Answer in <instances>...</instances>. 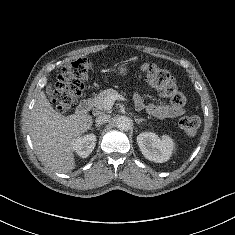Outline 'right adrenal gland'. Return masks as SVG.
I'll return each mask as SVG.
<instances>
[{"mask_svg":"<svg viewBox=\"0 0 235 235\" xmlns=\"http://www.w3.org/2000/svg\"><path fill=\"white\" fill-rule=\"evenodd\" d=\"M95 126H96L97 128H100V127H101V126H100V125H98V124H96Z\"/></svg>","mask_w":235,"mask_h":235,"instance_id":"1","label":"right adrenal gland"}]
</instances>
